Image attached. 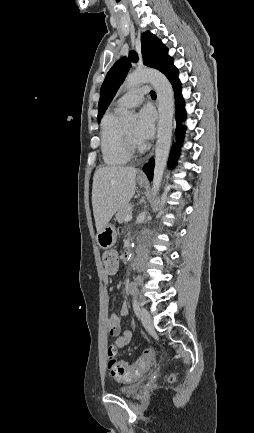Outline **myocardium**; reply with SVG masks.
<instances>
[{
	"label": "myocardium",
	"instance_id": "f54148a6",
	"mask_svg": "<svg viewBox=\"0 0 254 433\" xmlns=\"http://www.w3.org/2000/svg\"><path fill=\"white\" fill-rule=\"evenodd\" d=\"M121 138H122L124 149L130 156H133L142 150L140 145L134 143L130 139V137L126 134L123 128H121Z\"/></svg>",
	"mask_w": 254,
	"mask_h": 433
}]
</instances>
